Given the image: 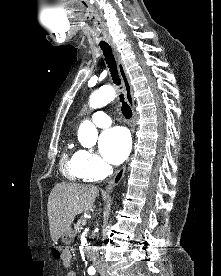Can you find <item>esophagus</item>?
I'll list each match as a JSON object with an SVG mask.
<instances>
[{
    "mask_svg": "<svg viewBox=\"0 0 221 276\" xmlns=\"http://www.w3.org/2000/svg\"><path fill=\"white\" fill-rule=\"evenodd\" d=\"M110 44L112 46V50H113L115 59L117 61L119 75H120V78H121L123 86H124V92H125L126 101L128 102V104L130 105V107L132 108V111H133V119H132V121H133V124H134V122H135V112H134L135 105H134V99H133V89H132V86L130 84V80H129V77L127 75V72H126L124 63L122 61L121 55L118 52L116 45L114 43H112V42ZM132 131L134 132V126H133ZM125 171H126V165H124L116 173V175L114 176V178L106 186V189L110 190L113 187H115L116 185H118L119 182L124 177Z\"/></svg>",
    "mask_w": 221,
    "mask_h": 276,
    "instance_id": "34e87169",
    "label": "esophagus"
}]
</instances>
